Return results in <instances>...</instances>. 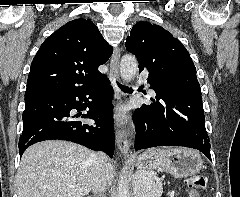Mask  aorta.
Segmentation results:
<instances>
[{"label":"aorta","mask_w":240,"mask_h":197,"mask_svg":"<svg viewBox=\"0 0 240 197\" xmlns=\"http://www.w3.org/2000/svg\"><path fill=\"white\" fill-rule=\"evenodd\" d=\"M137 70H138V63L136 58L132 55H124L120 62L121 78L124 81L129 82L134 78V76L137 73ZM138 176H142V174H139ZM143 176H145L144 184L146 187L148 183L147 176L144 173H143ZM117 197H131V194L129 191L127 173L125 170L122 172V174L119 177L118 186H117Z\"/></svg>","instance_id":"obj_1"}]
</instances>
